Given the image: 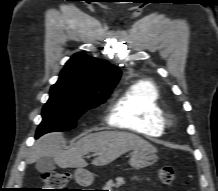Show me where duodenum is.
<instances>
[{
    "label": "duodenum",
    "instance_id": "obj_1",
    "mask_svg": "<svg viewBox=\"0 0 218 191\" xmlns=\"http://www.w3.org/2000/svg\"><path fill=\"white\" fill-rule=\"evenodd\" d=\"M76 178L81 183H84L86 181V173H85L84 169H79L76 172Z\"/></svg>",
    "mask_w": 218,
    "mask_h": 191
}]
</instances>
